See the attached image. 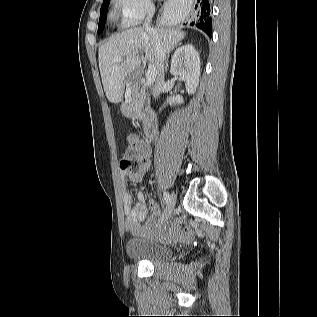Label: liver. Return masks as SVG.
I'll list each match as a JSON object with an SVG mask.
<instances>
[{"label": "liver", "mask_w": 317, "mask_h": 317, "mask_svg": "<svg viewBox=\"0 0 317 317\" xmlns=\"http://www.w3.org/2000/svg\"><path fill=\"white\" fill-rule=\"evenodd\" d=\"M159 44L168 53L186 33L178 29H153ZM144 52L149 62L158 69L157 45L144 27H135L110 38L99 48V69L106 97L111 103L123 99L125 81L140 67L139 53ZM121 58V59H119Z\"/></svg>", "instance_id": "obj_1"}]
</instances>
